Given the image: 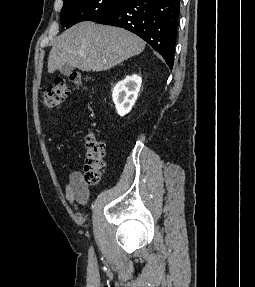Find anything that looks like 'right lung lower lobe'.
Masks as SVG:
<instances>
[{"label":"right lung lower lobe","instance_id":"obj_1","mask_svg":"<svg viewBox=\"0 0 255 287\" xmlns=\"http://www.w3.org/2000/svg\"><path fill=\"white\" fill-rule=\"evenodd\" d=\"M179 11L180 0H125L92 21L137 34L159 52L172 69Z\"/></svg>","mask_w":255,"mask_h":287}]
</instances>
